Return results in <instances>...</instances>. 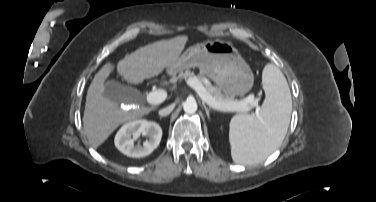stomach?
<instances>
[{
  "label": "stomach",
  "instance_id": "obj_1",
  "mask_svg": "<svg viewBox=\"0 0 376 202\" xmlns=\"http://www.w3.org/2000/svg\"><path fill=\"white\" fill-rule=\"evenodd\" d=\"M191 67H198L224 94L230 96L244 94L253 85L250 66L233 44L226 40H208L189 47L167 68V73L175 77Z\"/></svg>",
  "mask_w": 376,
  "mask_h": 202
}]
</instances>
